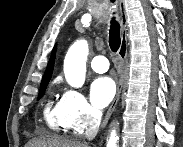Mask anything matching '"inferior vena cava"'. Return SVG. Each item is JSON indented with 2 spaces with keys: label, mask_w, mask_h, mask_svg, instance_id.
I'll list each match as a JSON object with an SVG mask.
<instances>
[{
  "label": "inferior vena cava",
  "mask_w": 183,
  "mask_h": 147,
  "mask_svg": "<svg viewBox=\"0 0 183 147\" xmlns=\"http://www.w3.org/2000/svg\"><path fill=\"white\" fill-rule=\"evenodd\" d=\"M92 116H93V119L90 122L85 132L86 138L89 141L93 140L98 133L102 112L100 110H94Z\"/></svg>",
  "instance_id": "obj_1"
}]
</instances>
